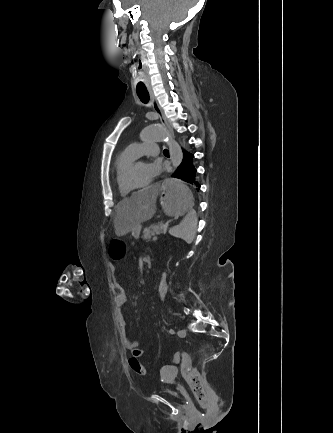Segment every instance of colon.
Masks as SVG:
<instances>
[{
	"label": "colon",
	"instance_id": "obj_1",
	"mask_svg": "<svg viewBox=\"0 0 333 433\" xmlns=\"http://www.w3.org/2000/svg\"><path fill=\"white\" fill-rule=\"evenodd\" d=\"M110 258H113V263H118V258H123L124 253L127 252L126 239L124 236H115L113 240L109 241ZM159 285L157 286V298H162L164 292L163 286L166 285L168 276L163 272L159 276ZM172 362H176L181 368V373L189 385V388L200 405H206L210 398V388L207 379L202 371L197 369L190 357L184 351H177L173 354ZM131 369L138 375H145L146 368L144 365L135 358L129 359Z\"/></svg>",
	"mask_w": 333,
	"mask_h": 433
}]
</instances>
